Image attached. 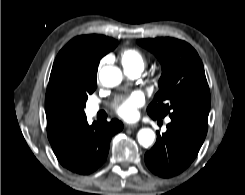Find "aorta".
Listing matches in <instances>:
<instances>
[{"mask_svg":"<svg viewBox=\"0 0 245 195\" xmlns=\"http://www.w3.org/2000/svg\"><path fill=\"white\" fill-rule=\"evenodd\" d=\"M101 83L106 87H115L122 82L123 75L116 66H104L99 73ZM138 142L143 147H149L155 140V133L150 128H142L137 134Z\"/></svg>","mask_w":245,"mask_h":195,"instance_id":"762f6f07","label":"aorta"}]
</instances>
